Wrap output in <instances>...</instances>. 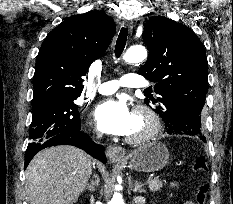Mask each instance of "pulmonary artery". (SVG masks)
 <instances>
[{"instance_id": "obj_1", "label": "pulmonary artery", "mask_w": 233, "mask_h": 204, "mask_svg": "<svg viewBox=\"0 0 233 204\" xmlns=\"http://www.w3.org/2000/svg\"><path fill=\"white\" fill-rule=\"evenodd\" d=\"M149 82L137 74H126L120 80H111L99 85L98 92L103 95H109L118 90L119 87L145 88Z\"/></svg>"}]
</instances>
